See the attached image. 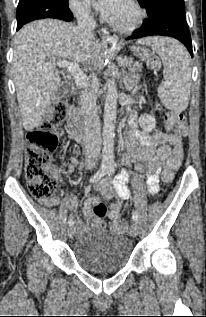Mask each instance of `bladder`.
I'll use <instances>...</instances> for the list:
<instances>
[{
	"label": "bladder",
	"instance_id": "obj_1",
	"mask_svg": "<svg viewBox=\"0 0 206 317\" xmlns=\"http://www.w3.org/2000/svg\"><path fill=\"white\" fill-rule=\"evenodd\" d=\"M131 241L118 232H95L81 236L73 254L79 265L89 271L117 270L130 259Z\"/></svg>",
	"mask_w": 206,
	"mask_h": 317
}]
</instances>
